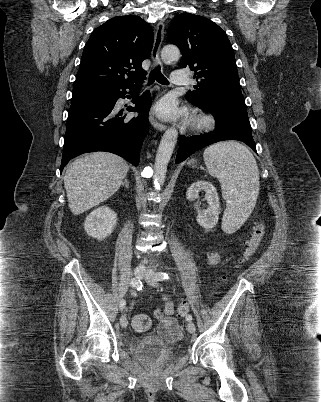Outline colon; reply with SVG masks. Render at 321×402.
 <instances>
[{"mask_svg": "<svg viewBox=\"0 0 321 402\" xmlns=\"http://www.w3.org/2000/svg\"><path fill=\"white\" fill-rule=\"evenodd\" d=\"M264 233V225H256L250 239L247 242V246L243 254V262L249 261L256 255L263 240ZM189 308V303L187 301L181 302L177 309L178 316L185 317L189 312ZM132 325L136 331H146L150 327V319L145 314H137L133 317Z\"/></svg>", "mask_w": 321, "mask_h": 402, "instance_id": "colon-1", "label": "colon"}]
</instances>
